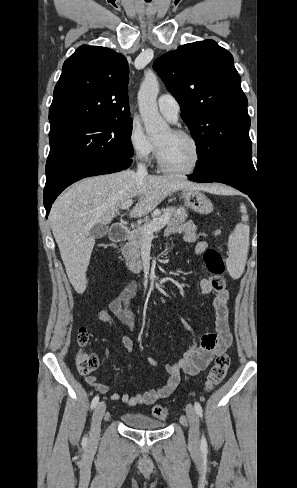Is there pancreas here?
<instances>
[{
    "label": "pancreas",
    "mask_w": 297,
    "mask_h": 488,
    "mask_svg": "<svg viewBox=\"0 0 297 488\" xmlns=\"http://www.w3.org/2000/svg\"><path fill=\"white\" fill-rule=\"evenodd\" d=\"M165 214L168 215V221L166 224H171V225L182 224L188 218V214L183 207H179V208L169 207L167 210L163 211V215ZM154 216H156L157 218L161 217L159 216L157 211L154 212ZM153 220H149L148 218H145L144 225L150 224ZM143 240H144V236L143 233L141 232V229H135L129 235L128 242L121 247V252L125 258L126 266L132 272L135 273L139 272L142 269V263L140 260V250H141Z\"/></svg>",
    "instance_id": "cf45deb5"
}]
</instances>
